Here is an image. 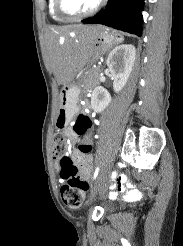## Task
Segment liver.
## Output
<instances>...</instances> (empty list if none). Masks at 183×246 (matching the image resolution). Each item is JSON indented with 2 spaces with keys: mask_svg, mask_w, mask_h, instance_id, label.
<instances>
[{
  "mask_svg": "<svg viewBox=\"0 0 183 246\" xmlns=\"http://www.w3.org/2000/svg\"><path fill=\"white\" fill-rule=\"evenodd\" d=\"M99 26L50 27L46 34L49 60L60 84L69 83L92 57ZM73 34V38L70 36Z\"/></svg>",
  "mask_w": 183,
  "mask_h": 246,
  "instance_id": "1",
  "label": "liver"
}]
</instances>
